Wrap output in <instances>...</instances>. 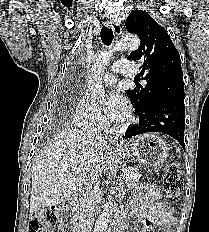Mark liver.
Returning a JSON list of instances; mask_svg holds the SVG:
<instances>
[{
  "label": "liver",
  "mask_w": 209,
  "mask_h": 232,
  "mask_svg": "<svg viewBox=\"0 0 209 232\" xmlns=\"http://www.w3.org/2000/svg\"><path fill=\"white\" fill-rule=\"evenodd\" d=\"M112 154L111 144L101 137L74 128L58 132L33 165L30 213L81 193L92 175L107 174Z\"/></svg>",
  "instance_id": "obj_1"
}]
</instances>
